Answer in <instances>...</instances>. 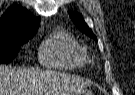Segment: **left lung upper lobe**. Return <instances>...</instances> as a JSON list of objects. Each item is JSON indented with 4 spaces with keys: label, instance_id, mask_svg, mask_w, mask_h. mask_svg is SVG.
Segmentation results:
<instances>
[{
    "label": "left lung upper lobe",
    "instance_id": "obj_1",
    "mask_svg": "<svg viewBox=\"0 0 135 95\" xmlns=\"http://www.w3.org/2000/svg\"><path fill=\"white\" fill-rule=\"evenodd\" d=\"M70 17L74 24L78 27L80 31L87 34L89 37L97 40V37L93 34L92 30L87 26L85 21L83 20L82 16L76 12H71Z\"/></svg>",
    "mask_w": 135,
    "mask_h": 95
}]
</instances>
